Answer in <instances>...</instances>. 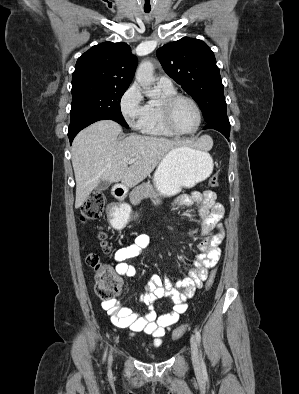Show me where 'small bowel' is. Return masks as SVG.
<instances>
[{"instance_id":"small-bowel-1","label":"small bowel","mask_w":299,"mask_h":394,"mask_svg":"<svg viewBox=\"0 0 299 394\" xmlns=\"http://www.w3.org/2000/svg\"><path fill=\"white\" fill-rule=\"evenodd\" d=\"M174 203L182 209L194 207L198 215V236L202 241L198 245L199 253L193 266L188 270V276L175 282L168 278L163 279L159 275H153L149 279L146 290L141 295V300L147 303L157 299L168 297L172 302V310L157 315L153 307H150L144 315L133 312L125 307L119 300L104 301L101 307L110 317L113 325L122 329H129L132 334L143 332L154 338L153 345L158 347L162 339L179 319L180 315L187 309L186 300L193 296L194 290L202 286L207 279L208 270L218 263L221 250L219 245L225 237L222 219L224 217V206L217 202L213 191L193 192L190 195H180L174 199ZM116 215L120 209L113 205ZM218 232L212 234L213 230ZM150 248V239L147 235L135 236L133 243L118 248L114 258L118 261L115 270L123 277H133L136 269L127 261L140 257Z\"/></svg>"}]
</instances>
